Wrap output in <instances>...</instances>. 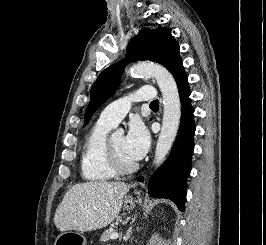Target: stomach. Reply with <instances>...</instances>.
Listing matches in <instances>:
<instances>
[{"label": "stomach", "mask_w": 266, "mask_h": 245, "mask_svg": "<svg viewBox=\"0 0 266 245\" xmlns=\"http://www.w3.org/2000/svg\"><path fill=\"white\" fill-rule=\"evenodd\" d=\"M137 203H141V199ZM123 205L125 211H132L135 207V203L131 197H126ZM59 242H73L74 245H86V239L81 233H60Z\"/></svg>", "instance_id": "obj_1"}]
</instances>
